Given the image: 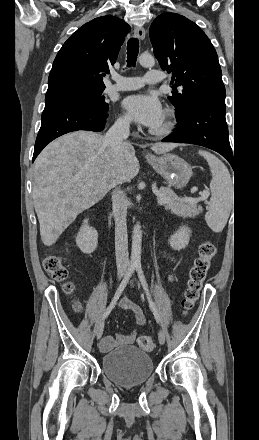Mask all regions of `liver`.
<instances>
[{
    "label": "liver",
    "instance_id": "liver-1",
    "mask_svg": "<svg viewBox=\"0 0 259 440\" xmlns=\"http://www.w3.org/2000/svg\"><path fill=\"white\" fill-rule=\"evenodd\" d=\"M176 146L155 143L151 149L165 154ZM139 168L130 143L116 153L95 132L76 131L52 141L33 166L32 196L44 245L52 246L80 213L102 200L115 182L131 181Z\"/></svg>",
    "mask_w": 259,
    "mask_h": 440
}]
</instances>
